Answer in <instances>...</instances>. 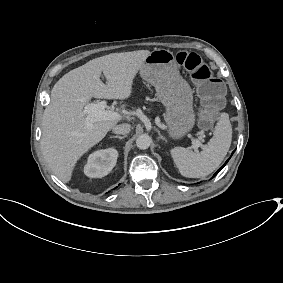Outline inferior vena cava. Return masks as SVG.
Wrapping results in <instances>:
<instances>
[{
  "label": "inferior vena cava",
  "mask_w": 283,
  "mask_h": 283,
  "mask_svg": "<svg viewBox=\"0 0 283 283\" xmlns=\"http://www.w3.org/2000/svg\"><path fill=\"white\" fill-rule=\"evenodd\" d=\"M130 128V124L124 123L113 127V132L116 134H127L130 132Z\"/></svg>",
  "instance_id": "1"
}]
</instances>
